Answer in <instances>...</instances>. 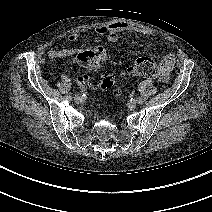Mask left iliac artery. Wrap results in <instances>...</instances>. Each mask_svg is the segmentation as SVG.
<instances>
[{"instance_id": "left-iliac-artery-1", "label": "left iliac artery", "mask_w": 212, "mask_h": 212, "mask_svg": "<svg viewBox=\"0 0 212 212\" xmlns=\"http://www.w3.org/2000/svg\"><path fill=\"white\" fill-rule=\"evenodd\" d=\"M136 101L139 103V104H142L144 101L141 97H137L136 98Z\"/></svg>"}]
</instances>
